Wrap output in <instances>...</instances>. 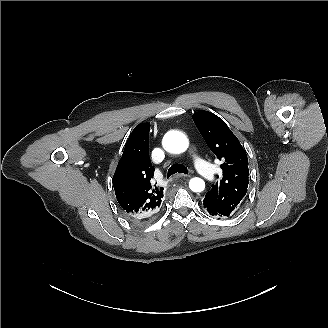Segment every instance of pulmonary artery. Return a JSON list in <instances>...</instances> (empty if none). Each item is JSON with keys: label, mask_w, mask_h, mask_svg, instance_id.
Returning a JSON list of instances; mask_svg holds the SVG:
<instances>
[{"label": "pulmonary artery", "mask_w": 328, "mask_h": 328, "mask_svg": "<svg viewBox=\"0 0 328 328\" xmlns=\"http://www.w3.org/2000/svg\"><path fill=\"white\" fill-rule=\"evenodd\" d=\"M188 158L191 162L196 163V162L199 161L200 156L197 152L192 151V152L189 153ZM195 169H196L197 172L201 173L204 176H209L213 172V169H212L211 166L205 165L202 162L197 163L196 166H195Z\"/></svg>", "instance_id": "1"}]
</instances>
